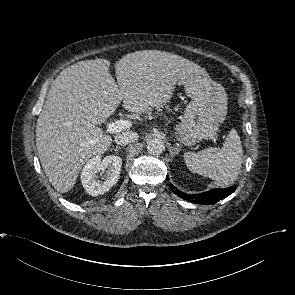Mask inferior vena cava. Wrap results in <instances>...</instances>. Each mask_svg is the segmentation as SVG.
I'll list each match as a JSON object with an SVG mask.
<instances>
[{"instance_id": "1", "label": "inferior vena cava", "mask_w": 295, "mask_h": 295, "mask_svg": "<svg viewBox=\"0 0 295 295\" xmlns=\"http://www.w3.org/2000/svg\"><path fill=\"white\" fill-rule=\"evenodd\" d=\"M139 138L138 133L133 131L122 132L115 136V142L119 145H127L137 141Z\"/></svg>"}]
</instances>
